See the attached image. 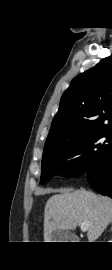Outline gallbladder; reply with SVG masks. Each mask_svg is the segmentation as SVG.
I'll return each mask as SVG.
<instances>
[{
    "label": "gallbladder",
    "mask_w": 112,
    "mask_h": 270,
    "mask_svg": "<svg viewBox=\"0 0 112 270\" xmlns=\"http://www.w3.org/2000/svg\"><path fill=\"white\" fill-rule=\"evenodd\" d=\"M75 239H77L75 235L61 230L55 231L52 235V242H68L67 240L72 241Z\"/></svg>",
    "instance_id": "bac80fb5"
}]
</instances>
